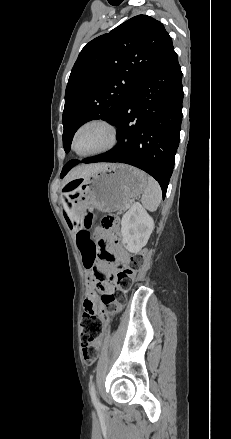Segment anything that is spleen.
<instances>
[{
    "mask_svg": "<svg viewBox=\"0 0 231 439\" xmlns=\"http://www.w3.org/2000/svg\"><path fill=\"white\" fill-rule=\"evenodd\" d=\"M162 199V191L158 182L152 178H147V186L142 196L143 206L150 212L155 211Z\"/></svg>",
    "mask_w": 231,
    "mask_h": 439,
    "instance_id": "1",
    "label": "spleen"
}]
</instances>
